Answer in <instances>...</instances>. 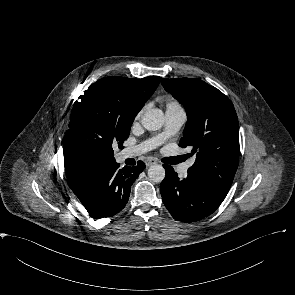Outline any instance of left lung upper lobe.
<instances>
[{"instance_id": "1", "label": "left lung upper lobe", "mask_w": 295, "mask_h": 295, "mask_svg": "<svg viewBox=\"0 0 295 295\" xmlns=\"http://www.w3.org/2000/svg\"><path fill=\"white\" fill-rule=\"evenodd\" d=\"M162 85L185 108L188 121L179 146L191 147L188 175L226 197L239 160L238 118L229 98L199 79H163Z\"/></svg>"}]
</instances>
